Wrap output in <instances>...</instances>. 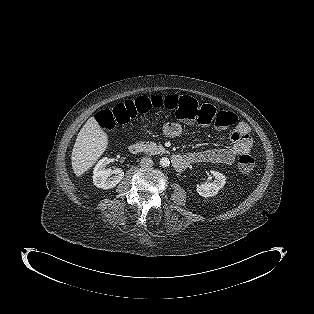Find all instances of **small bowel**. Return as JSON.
<instances>
[{"mask_svg": "<svg viewBox=\"0 0 314 314\" xmlns=\"http://www.w3.org/2000/svg\"><path fill=\"white\" fill-rule=\"evenodd\" d=\"M183 126L178 122H168L163 126V133L166 137L175 138L182 134ZM231 145L226 148L205 149L190 153L193 163H214L231 165L236 159L252 148V140L249 135V126L240 122L236 125L231 136Z\"/></svg>", "mask_w": 314, "mask_h": 314, "instance_id": "obj_1", "label": "small bowel"}]
</instances>
